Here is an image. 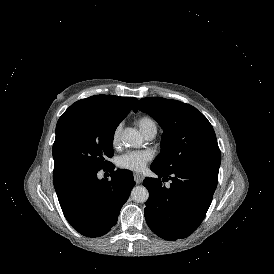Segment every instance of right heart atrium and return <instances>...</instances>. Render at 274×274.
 Instances as JSON below:
<instances>
[{"mask_svg":"<svg viewBox=\"0 0 274 274\" xmlns=\"http://www.w3.org/2000/svg\"><path fill=\"white\" fill-rule=\"evenodd\" d=\"M119 142V132L116 130L112 136V145L115 147Z\"/></svg>","mask_w":274,"mask_h":274,"instance_id":"obj_1","label":"right heart atrium"}]
</instances>
